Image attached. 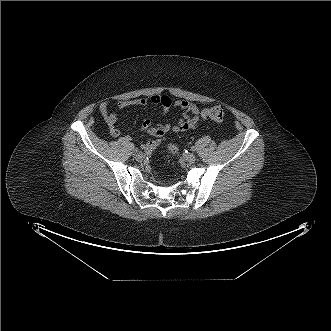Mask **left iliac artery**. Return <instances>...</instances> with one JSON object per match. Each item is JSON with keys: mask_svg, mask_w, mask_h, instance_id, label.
I'll list each match as a JSON object with an SVG mask.
<instances>
[{"mask_svg": "<svg viewBox=\"0 0 331 331\" xmlns=\"http://www.w3.org/2000/svg\"><path fill=\"white\" fill-rule=\"evenodd\" d=\"M191 150H192V151H195L196 149H195V147H194V146H192V147H191Z\"/></svg>", "mask_w": 331, "mask_h": 331, "instance_id": "1", "label": "left iliac artery"}]
</instances>
